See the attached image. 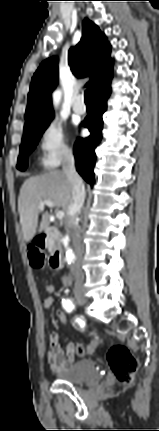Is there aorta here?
<instances>
[{
  "label": "aorta",
  "instance_id": "obj_1",
  "mask_svg": "<svg viewBox=\"0 0 159 431\" xmlns=\"http://www.w3.org/2000/svg\"><path fill=\"white\" fill-rule=\"evenodd\" d=\"M53 98H54V102H55V103H58V102H59V100H60V92H59V91H56V92L54 93V95H53ZM64 245H65V247H66V251H65L66 261H67L68 263H71V262H73V260H74V258H75L74 253H73V252H72V250L68 247V245H67V241H66V240L64 241Z\"/></svg>",
  "mask_w": 159,
  "mask_h": 431
}]
</instances>
